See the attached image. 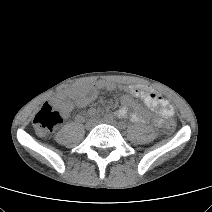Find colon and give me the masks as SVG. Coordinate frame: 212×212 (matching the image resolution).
I'll return each instance as SVG.
<instances>
[{
	"instance_id": "1",
	"label": "colon",
	"mask_w": 212,
	"mask_h": 212,
	"mask_svg": "<svg viewBox=\"0 0 212 212\" xmlns=\"http://www.w3.org/2000/svg\"><path fill=\"white\" fill-rule=\"evenodd\" d=\"M63 120L61 111L53 104L47 102L36 113L33 119V126L39 135L45 136L51 133L56 127H58ZM176 122L174 120H168L166 122V128L169 131L174 130Z\"/></svg>"
}]
</instances>
